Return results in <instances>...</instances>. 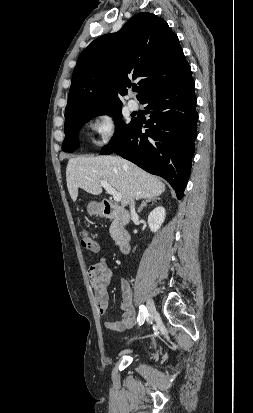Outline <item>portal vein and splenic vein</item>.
Wrapping results in <instances>:
<instances>
[{"label":"portal vein and splenic vein","instance_id":"portal-vein-and-splenic-vein-1","mask_svg":"<svg viewBox=\"0 0 253 413\" xmlns=\"http://www.w3.org/2000/svg\"><path fill=\"white\" fill-rule=\"evenodd\" d=\"M100 185L110 194L113 196L114 201L120 202L122 199V195L117 192L110 184L105 181H101Z\"/></svg>","mask_w":253,"mask_h":413}]
</instances>
